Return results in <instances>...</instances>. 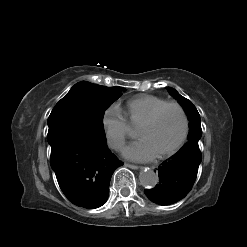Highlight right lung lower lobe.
I'll list each match as a JSON object with an SVG mask.
<instances>
[{
	"instance_id": "obj_1",
	"label": "right lung lower lobe",
	"mask_w": 247,
	"mask_h": 247,
	"mask_svg": "<svg viewBox=\"0 0 247 247\" xmlns=\"http://www.w3.org/2000/svg\"><path fill=\"white\" fill-rule=\"evenodd\" d=\"M47 140L51 167L68 200L86 209L102 206L107 201L114 170L123 165L106 141L67 123L49 126Z\"/></svg>"
}]
</instances>
